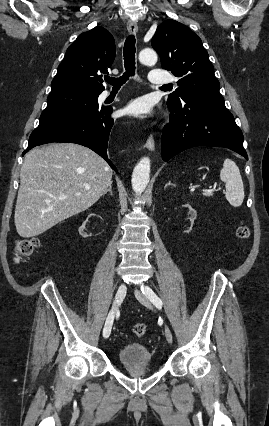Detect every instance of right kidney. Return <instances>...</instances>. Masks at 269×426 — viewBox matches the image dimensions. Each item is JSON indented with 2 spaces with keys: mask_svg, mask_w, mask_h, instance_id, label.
Instances as JSON below:
<instances>
[{
  "mask_svg": "<svg viewBox=\"0 0 269 426\" xmlns=\"http://www.w3.org/2000/svg\"><path fill=\"white\" fill-rule=\"evenodd\" d=\"M95 215L96 214L93 212V213L89 214L88 217L85 218V222L79 228L80 235H82V236H84L86 238H93L94 234L93 233H89L88 229H90V228H101V225H90L88 223L86 224V222L93 221V217ZM99 219L102 221L104 218L101 216ZM90 232H93V229H90Z\"/></svg>",
  "mask_w": 269,
  "mask_h": 426,
  "instance_id": "right-kidney-1",
  "label": "right kidney"
}]
</instances>
